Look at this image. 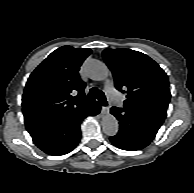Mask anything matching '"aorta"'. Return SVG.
Listing matches in <instances>:
<instances>
[{
  "mask_svg": "<svg viewBox=\"0 0 194 193\" xmlns=\"http://www.w3.org/2000/svg\"><path fill=\"white\" fill-rule=\"evenodd\" d=\"M85 72L89 78L96 81L104 80L109 75V69L103 62L90 59L85 64ZM103 132L108 136H114L117 134L119 129V124L117 119L111 115L106 114L103 116L102 121Z\"/></svg>",
  "mask_w": 194,
  "mask_h": 193,
  "instance_id": "aorta-1",
  "label": "aorta"
}]
</instances>
